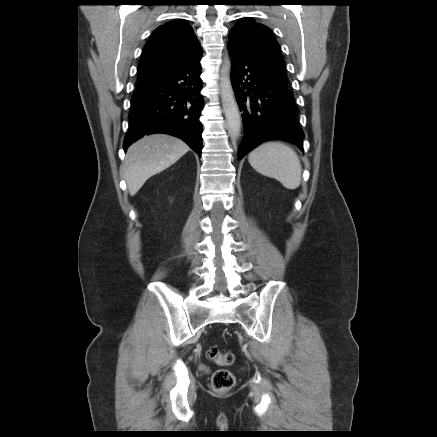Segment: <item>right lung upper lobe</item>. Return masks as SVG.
<instances>
[{
	"label": "right lung upper lobe",
	"mask_w": 437,
	"mask_h": 437,
	"mask_svg": "<svg viewBox=\"0 0 437 437\" xmlns=\"http://www.w3.org/2000/svg\"><path fill=\"white\" fill-rule=\"evenodd\" d=\"M202 49L190 25L174 20L158 27L147 41L138 66L139 83L201 58Z\"/></svg>",
	"instance_id": "1"
}]
</instances>
